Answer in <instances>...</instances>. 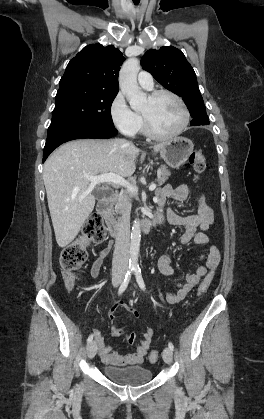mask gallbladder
<instances>
[{"label":"gallbladder","mask_w":264,"mask_h":419,"mask_svg":"<svg viewBox=\"0 0 264 419\" xmlns=\"http://www.w3.org/2000/svg\"><path fill=\"white\" fill-rule=\"evenodd\" d=\"M102 194H103V191L102 190H96V192H95V195L99 198V197H101L102 196Z\"/></svg>","instance_id":"gallbladder-1"}]
</instances>
